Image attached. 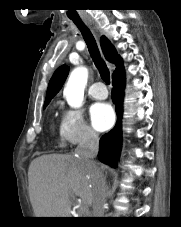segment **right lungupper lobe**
I'll return each mask as SVG.
<instances>
[{"mask_svg": "<svg viewBox=\"0 0 181 227\" xmlns=\"http://www.w3.org/2000/svg\"><path fill=\"white\" fill-rule=\"evenodd\" d=\"M100 44L106 59L116 65V70L119 69L122 65V61L110 41L106 37L102 36L100 39ZM68 72L69 67L67 65L60 66L54 72L48 85L45 103H49L50 100L54 97V95L59 92L64 81L67 78Z\"/></svg>", "mask_w": 181, "mask_h": 227, "instance_id": "right-lung-upper-lobe-1", "label": "right lung upper lobe"}]
</instances>
